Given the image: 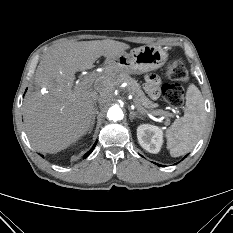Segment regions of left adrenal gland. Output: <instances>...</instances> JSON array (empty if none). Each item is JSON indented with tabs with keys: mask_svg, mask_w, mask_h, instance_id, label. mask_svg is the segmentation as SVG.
<instances>
[{
	"mask_svg": "<svg viewBox=\"0 0 233 233\" xmlns=\"http://www.w3.org/2000/svg\"><path fill=\"white\" fill-rule=\"evenodd\" d=\"M130 114H129V118L131 119V121L137 117V118H141L142 119V115L139 114L138 112H134L129 108Z\"/></svg>",
	"mask_w": 233,
	"mask_h": 233,
	"instance_id": "a2214340",
	"label": "left adrenal gland"
}]
</instances>
